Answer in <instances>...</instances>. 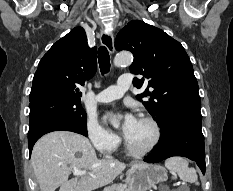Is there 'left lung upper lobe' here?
Wrapping results in <instances>:
<instances>
[{
	"label": "left lung upper lobe",
	"instance_id": "1",
	"mask_svg": "<svg viewBox=\"0 0 233 191\" xmlns=\"http://www.w3.org/2000/svg\"><path fill=\"white\" fill-rule=\"evenodd\" d=\"M115 48L133 53L130 71L143 76L135 78L133 84L141 88L148 83L137 99L157 121L162 133L179 119L202 120L198 83L191 61L178 41L159 28L135 20L118 33Z\"/></svg>",
	"mask_w": 233,
	"mask_h": 191
}]
</instances>
